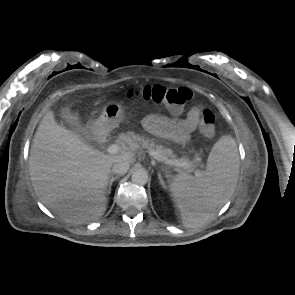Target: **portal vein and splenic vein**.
<instances>
[{"label": "portal vein and splenic vein", "mask_w": 295, "mask_h": 295, "mask_svg": "<svg viewBox=\"0 0 295 295\" xmlns=\"http://www.w3.org/2000/svg\"><path fill=\"white\" fill-rule=\"evenodd\" d=\"M119 150H120V147L117 144H112L107 149V151L110 154H116ZM149 153L156 160L161 161V162H163V163H165L166 165H169V166H176V167H187V166H189V163L186 162V161L167 159V158L162 157L161 155H159L157 152L151 151V150L149 151Z\"/></svg>", "instance_id": "portal-vein-and-splenic-vein-1"}]
</instances>
